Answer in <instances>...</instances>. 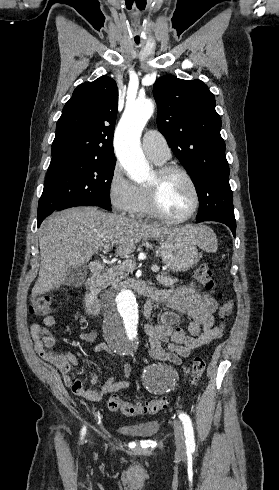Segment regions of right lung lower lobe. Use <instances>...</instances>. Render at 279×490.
Instances as JSON below:
<instances>
[{
	"instance_id": "obj_1",
	"label": "right lung lower lobe",
	"mask_w": 279,
	"mask_h": 490,
	"mask_svg": "<svg viewBox=\"0 0 279 490\" xmlns=\"http://www.w3.org/2000/svg\"><path fill=\"white\" fill-rule=\"evenodd\" d=\"M75 206H97L91 202H86V201H79V202H73V203H69V204H65L61 207H59L56 211H60V210H63V209H66V208H70V207H75ZM47 217V216H46ZM46 217H41V218H37V221H38V227L40 226L41 222L46 218Z\"/></svg>"
}]
</instances>
